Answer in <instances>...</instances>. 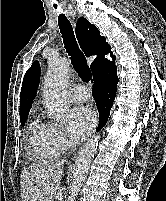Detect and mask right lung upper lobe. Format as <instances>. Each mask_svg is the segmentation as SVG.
Returning a JSON list of instances; mask_svg holds the SVG:
<instances>
[{
	"label": "right lung upper lobe",
	"mask_w": 166,
	"mask_h": 201,
	"mask_svg": "<svg viewBox=\"0 0 166 201\" xmlns=\"http://www.w3.org/2000/svg\"><path fill=\"white\" fill-rule=\"evenodd\" d=\"M75 32L85 55L87 57L97 55L91 64V70L93 76H95L101 67L111 62L104 58V54L111 52V46L106 42L105 37L100 36L99 30L85 18H80L77 21ZM111 57L115 59L112 52ZM39 75L40 65L38 61H35L23 79L20 94V118L28 116L39 85Z\"/></svg>",
	"instance_id": "1"
}]
</instances>
